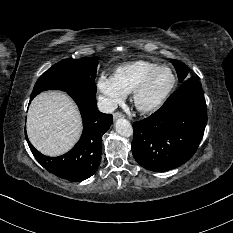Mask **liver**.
Here are the masks:
<instances>
[{
  "instance_id": "1",
  "label": "liver",
  "mask_w": 233,
  "mask_h": 233,
  "mask_svg": "<svg viewBox=\"0 0 233 233\" xmlns=\"http://www.w3.org/2000/svg\"><path fill=\"white\" fill-rule=\"evenodd\" d=\"M82 132V119L73 100L64 92L37 95L27 114V134L32 145L47 156L69 151Z\"/></svg>"
}]
</instances>
